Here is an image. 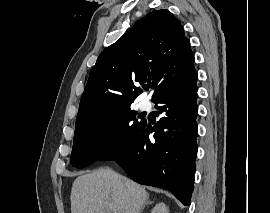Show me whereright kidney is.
Listing matches in <instances>:
<instances>
[{
    "label": "right kidney",
    "mask_w": 270,
    "mask_h": 213,
    "mask_svg": "<svg viewBox=\"0 0 270 213\" xmlns=\"http://www.w3.org/2000/svg\"><path fill=\"white\" fill-rule=\"evenodd\" d=\"M151 213H169V211L167 206L163 202H161L153 208Z\"/></svg>",
    "instance_id": "1"
}]
</instances>
